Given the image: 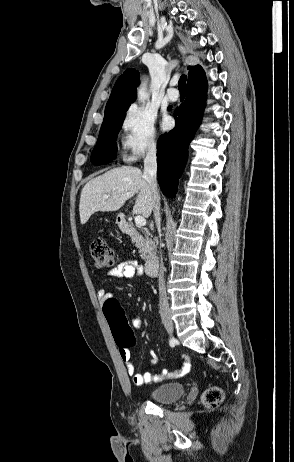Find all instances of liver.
Segmentation results:
<instances>
[{
    "instance_id": "6515ba94",
    "label": "liver",
    "mask_w": 294,
    "mask_h": 462,
    "mask_svg": "<svg viewBox=\"0 0 294 462\" xmlns=\"http://www.w3.org/2000/svg\"><path fill=\"white\" fill-rule=\"evenodd\" d=\"M137 194L134 214L148 218L154 208L149 184L142 171L136 167L114 168L90 180L82 189L79 203L80 222L85 224L95 212L119 210L125 202ZM108 195V198H104Z\"/></svg>"
}]
</instances>
